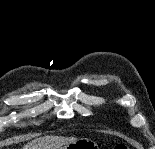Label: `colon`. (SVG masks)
<instances>
[{"mask_svg":"<svg viewBox=\"0 0 155 149\" xmlns=\"http://www.w3.org/2000/svg\"><path fill=\"white\" fill-rule=\"evenodd\" d=\"M115 149H128V146L124 143L118 144Z\"/></svg>","mask_w":155,"mask_h":149,"instance_id":"obj_1","label":"colon"}]
</instances>
